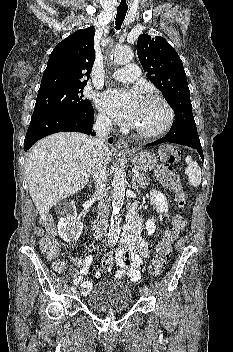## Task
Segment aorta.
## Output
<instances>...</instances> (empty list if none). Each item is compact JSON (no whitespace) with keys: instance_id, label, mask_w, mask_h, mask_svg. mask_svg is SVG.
I'll return each instance as SVG.
<instances>
[{"instance_id":"aorta-1","label":"aorta","mask_w":233,"mask_h":352,"mask_svg":"<svg viewBox=\"0 0 233 352\" xmlns=\"http://www.w3.org/2000/svg\"><path fill=\"white\" fill-rule=\"evenodd\" d=\"M133 51L128 47H118L112 53L114 63L122 65L131 61ZM127 179L123 169H116L112 182V216L108 233V241L115 242L120 233V210L123 206Z\"/></svg>"}]
</instances>
